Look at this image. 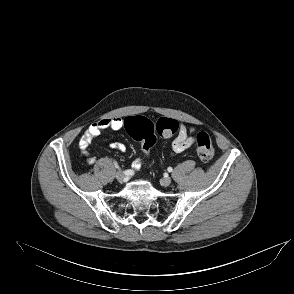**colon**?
Segmentation results:
<instances>
[{
	"label": "colon",
	"instance_id": "1",
	"mask_svg": "<svg viewBox=\"0 0 294 294\" xmlns=\"http://www.w3.org/2000/svg\"><path fill=\"white\" fill-rule=\"evenodd\" d=\"M125 127L129 135L142 144L149 154L156 143V135L168 137L179 130V123L170 118H161L155 124L143 116L126 118ZM197 156L203 162L210 161L214 156V147L209 135L199 132L196 135Z\"/></svg>",
	"mask_w": 294,
	"mask_h": 294
}]
</instances>
